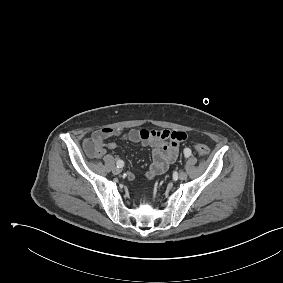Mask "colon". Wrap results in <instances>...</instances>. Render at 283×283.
<instances>
[{
    "label": "colon",
    "mask_w": 283,
    "mask_h": 283,
    "mask_svg": "<svg viewBox=\"0 0 283 283\" xmlns=\"http://www.w3.org/2000/svg\"><path fill=\"white\" fill-rule=\"evenodd\" d=\"M85 147H86V150L88 151L89 155L92 156V157H98L102 154L101 145L93 139L86 140ZM194 150L200 156H207L209 154L208 146L205 145V144H202V143L194 144Z\"/></svg>",
    "instance_id": "colon-1"
}]
</instances>
